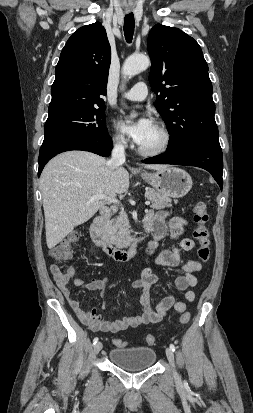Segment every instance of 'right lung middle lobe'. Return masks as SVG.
I'll list each match as a JSON object with an SVG mask.
<instances>
[{"instance_id":"1","label":"right lung middle lobe","mask_w":253,"mask_h":413,"mask_svg":"<svg viewBox=\"0 0 253 413\" xmlns=\"http://www.w3.org/2000/svg\"><path fill=\"white\" fill-rule=\"evenodd\" d=\"M104 107L71 109L49 115L45 123L44 141L62 138H93L108 133Z\"/></svg>"}]
</instances>
